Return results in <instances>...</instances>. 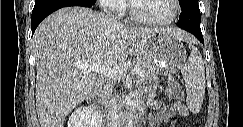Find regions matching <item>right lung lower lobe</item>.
Segmentation results:
<instances>
[{"label": "right lung lower lobe", "instance_id": "98d812e1", "mask_svg": "<svg viewBox=\"0 0 243 127\" xmlns=\"http://www.w3.org/2000/svg\"><path fill=\"white\" fill-rule=\"evenodd\" d=\"M92 0H36L32 11L31 29L32 34L41 21L52 12L69 6L93 7Z\"/></svg>", "mask_w": 243, "mask_h": 127}]
</instances>
